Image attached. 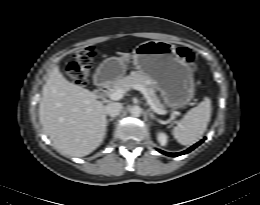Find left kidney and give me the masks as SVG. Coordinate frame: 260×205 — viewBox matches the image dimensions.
<instances>
[{
  "instance_id": "5707ae66",
  "label": "left kidney",
  "mask_w": 260,
  "mask_h": 205,
  "mask_svg": "<svg viewBox=\"0 0 260 205\" xmlns=\"http://www.w3.org/2000/svg\"><path fill=\"white\" fill-rule=\"evenodd\" d=\"M157 140L161 146H166V144L168 142V137L164 132H159L157 134Z\"/></svg>"
}]
</instances>
